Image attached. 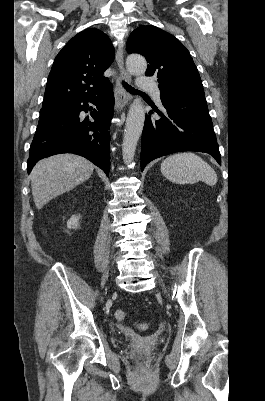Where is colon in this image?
<instances>
[{"mask_svg": "<svg viewBox=\"0 0 265 401\" xmlns=\"http://www.w3.org/2000/svg\"><path fill=\"white\" fill-rule=\"evenodd\" d=\"M115 318H116L118 321H123V320L126 319V314H125V312L122 311V310H117V311L115 312ZM138 328H139L140 330H146V329L148 328V324H146V323L138 324Z\"/></svg>", "mask_w": 265, "mask_h": 401, "instance_id": "obj_1", "label": "colon"}]
</instances>
